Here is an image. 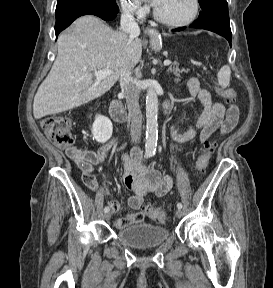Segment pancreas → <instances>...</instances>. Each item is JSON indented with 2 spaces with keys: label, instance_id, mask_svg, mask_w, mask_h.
Masks as SVG:
<instances>
[{
  "label": "pancreas",
  "instance_id": "obj_1",
  "mask_svg": "<svg viewBox=\"0 0 273 288\" xmlns=\"http://www.w3.org/2000/svg\"><path fill=\"white\" fill-rule=\"evenodd\" d=\"M167 71L170 73H173L176 77H179L180 74L183 72H187V70H185V69L180 70L177 66H173V67L170 66ZM176 80H178V79H176Z\"/></svg>",
  "mask_w": 273,
  "mask_h": 288
}]
</instances>
